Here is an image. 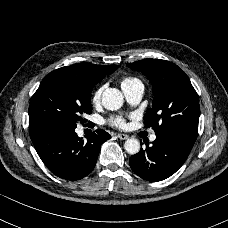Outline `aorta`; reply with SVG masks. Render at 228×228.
Returning a JSON list of instances; mask_svg holds the SVG:
<instances>
[{"label": "aorta", "instance_id": "762f6f07", "mask_svg": "<svg viewBox=\"0 0 228 228\" xmlns=\"http://www.w3.org/2000/svg\"><path fill=\"white\" fill-rule=\"evenodd\" d=\"M102 102L108 110H118L123 106L124 97L120 90L116 88L106 89L102 95ZM124 149L129 154H136L140 150V142L137 139L130 138L126 140Z\"/></svg>", "mask_w": 228, "mask_h": 228}]
</instances>
